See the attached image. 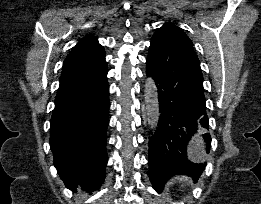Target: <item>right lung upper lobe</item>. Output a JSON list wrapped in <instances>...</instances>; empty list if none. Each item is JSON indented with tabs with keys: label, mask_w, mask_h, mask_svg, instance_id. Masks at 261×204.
I'll return each instance as SVG.
<instances>
[{
	"label": "right lung upper lobe",
	"mask_w": 261,
	"mask_h": 204,
	"mask_svg": "<svg viewBox=\"0 0 261 204\" xmlns=\"http://www.w3.org/2000/svg\"><path fill=\"white\" fill-rule=\"evenodd\" d=\"M105 59V50L95 36L82 38L66 57L63 73L86 68Z\"/></svg>",
	"instance_id": "right-lung-upper-lobe-1"
}]
</instances>
